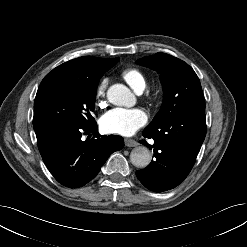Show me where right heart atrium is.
<instances>
[{
  "label": "right heart atrium",
  "mask_w": 247,
  "mask_h": 247,
  "mask_svg": "<svg viewBox=\"0 0 247 247\" xmlns=\"http://www.w3.org/2000/svg\"><path fill=\"white\" fill-rule=\"evenodd\" d=\"M106 85H107V81L102 80L97 87L96 97L99 106H103L105 104L104 97H105Z\"/></svg>",
  "instance_id": "right-heart-atrium-1"
}]
</instances>
